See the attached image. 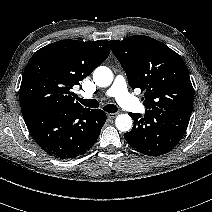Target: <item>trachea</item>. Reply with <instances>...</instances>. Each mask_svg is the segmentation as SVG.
Wrapping results in <instances>:
<instances>
[{
	"label": "trachea",
	"mask_w": 212,
	"mask_h": 212,
	"mask_svg": "<svg viewBox=\"0 0 212 212\" xmlns=\"http://www.w3.org/2000/svg\"><path fill=\"white\" fill-rule=\"evenodd\" d=\"M76 99L86 107H89V108L99 107V102L96 99H82V98H79L78 96H76ZM103 109L109 113H115L118 110V108L113 104H108L104 106Z\"/></svg>",
	"instance_id": "obj_1"
}]
</instances>
